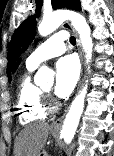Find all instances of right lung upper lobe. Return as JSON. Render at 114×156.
I'll return each instance as SVG.
<instances>
[{
	"label": "right lung upper lobe",
	"mask_w": 114,
	"mask_h": 156,
	"mask_svg": "<svg viewBox=\"0 0 114 156\" xmlns=\"http://www.w3.org/2000/svg\"><path fill=\"white\" fill-rule=\"evenodd\" d=\"M19 63V62H18ZM18 63L16 64L15 68H14V71L16 70L17 66H18Z\"/></svg>",
	"instance_id": "obj_1"
}]
</instances>
